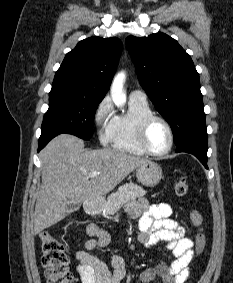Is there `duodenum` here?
<instances>
[{
    "instance_id": "duodenum-1",
    "label": "duodenum",
    "mask_w": 233,
    "mask_h": 283,
    "mask_svg": "<svg viewBox=\"0 0 233 283\" xmlns=\"http://www.w3.org/2000/svg\"><path fill=\"white\" fill-rule=\"evenodd\" d=\"M104 203L102 200L99 199H91L86 202L85 210L88 214L94 215L101 212L103 209Z\"/></svg>"
}]
</instances>
